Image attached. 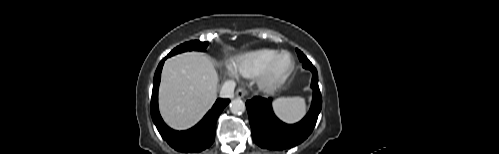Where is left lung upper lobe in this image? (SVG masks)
Wrapping results in <instances>:
<instances>
[{
	"mask_svg": "<svg viewBox=\"0 0 499 154\" xmlns=\"http://www.w3.org/2000/svg\"><path fill=\"white\" fill-rule=\"evenodd\" d=\"M296 51H297L299 60L303 63V65L304 64L312 65V63L308 60V58L300 50H296Z\"/></svg>",
	"mask_w": 499,
	"mask_h": 154,
	"instance_id": "5c2ea615",
	"label": "left lung upper lobe"
}]
</instances>
